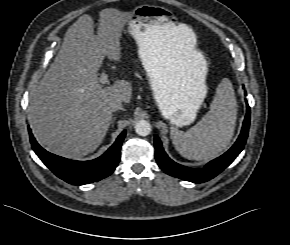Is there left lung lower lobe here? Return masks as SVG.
Wrapping results in <instances>:
<instances>
[{"mask_svg": "<svg viewBox=\"0 0 290 245\" xmlns=\"http://www.w3.org/2000/svg\"><path fill=\"white\" fill-rule=\"evenodd\" d=\"M246 105L247 111L240 136L225 154L210 161L202 169L188 168L171 160L163 150L160 139L155 136V156L159 167L169 175L195 183H202L214 178L230 165L244 148L250 124V107L248 103Z\"/></svg>", "mask_w": 290, "mask_h": 245, "instance_id": "0a47b994", "label": "left lung lower lobe"}]
</instances>
